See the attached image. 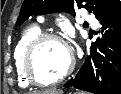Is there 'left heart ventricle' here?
I'll return each mask as SVG.
<instances>
[{"label":"left heart ventricle","instance_id":"left-heart-ventricle-1","mask_svg":"<svg viewBox=\"0 0 121 94\" xmlns=\"http://www.w3.org/2000/svg\"><path fill=\"white\" fill-rule=\"evenodd\" d=\"M68 63L67 49L59 42L51 40L43 42L38 47L32 66L39 80L49 82L62 74Z\"/></svg>","mask_w":121,"mask_h":94}]
</instances>
